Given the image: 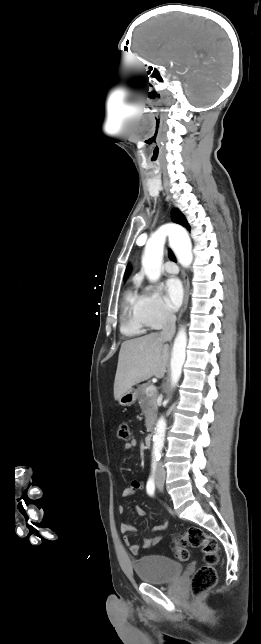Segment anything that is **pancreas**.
<instances>
[{
	"label": "pancreas",
	"instance_id": "cf45deb5",
	"mask_svg": "<svg viewBox=\"0 0 261 644\" xmlns=\"http://www.w3.org/2000/svg\"><path fill=\"white\" fill-rule=\"evenodd\" d=\"M149 383L142 384L137 389V398L139 400V405L142 410V413L145 415V422L147 431L152 429V426L156 420L157 413V392L154 391L152 394L146 393V388L149 387Z\"/></svg>",
	"mask_w": 261,
	"mask_h": 644
}]
</instances>
